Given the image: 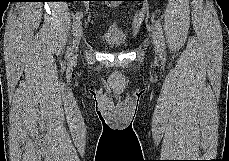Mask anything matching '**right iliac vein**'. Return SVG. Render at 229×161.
I'll return each mask as SVG.
<instances>
[{
    "mask_svg": "<svg viewBox=\"0 0 229 161\" xmlns=\"http://www.w3.org/2000/svg\"><path fill=\"white\" fill-rule=\"evenodd\" d=\"M82 35H83V27H82V25H79L76 29L73 43H72V46L70 48L69 59L71 61L75 60V58L77 56V51H78V47H79V43H80V39H81Z\"/></svg>",
    "mask_w": 229,
    "mask_h": 161,
    "instance_id": "63e3f726",
    "label": "right iliac vein"
}]
</instances>
